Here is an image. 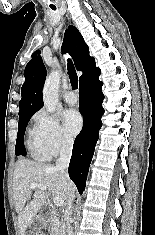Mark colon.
I'll return each instance as SVG.
<instances>
[{
  "instance_id": "1",
  "label": "colon",
  "mask_w": 155,
  "mask_h": 235,
  "mask_svg": "<svg viewBox=\"0 0 155 235\" xmlns=\"http://www.w3.org/2000/svg\"><path fill=\"white\" fill-rule=\"evenodd\" d=\"M26 235H41V234H37V233H35V232H29V233H27Z\"/></svg>"
}]
</instances>
